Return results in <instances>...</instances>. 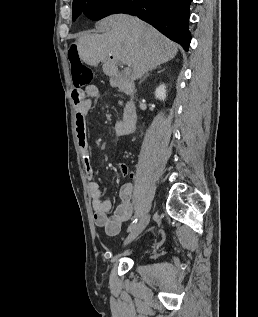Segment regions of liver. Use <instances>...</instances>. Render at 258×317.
<instances>
[{"label":"liver","mask_w":258,"mask_h":317,"mask_svg":"<svg viewBox=\"0 0 258 317\" xmlns=\"http://www.w3.org/2000/svg\"><path fill=\"white\" fill-rule=\"evenodd\" d=\"M97 32H85L77 38V50L86 64L103 62V72L117 80L118 62L132 66V80L141 78L152 66L174 58L178 44L166 38L151 24L130 14H111L98 20Z\"/></svg>","instance_id":"liver-1"}]
</instances>
